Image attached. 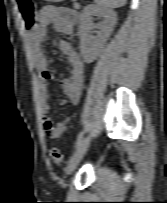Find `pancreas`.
Wrapping results in <instances>:
<instances>
[{
  "label": "pancreas",
  "instance_id": "1",
  "mask_svg": "<svg viewBox=\"0 0 167 203\" xmlns=\"http://www.w3.org/2000/svg\"><path fill=\"white\" fill-rule=\"evenodd\" d=\"M73 1H75V0H73ZM74 7H75V8H79V4L75 3V4H74Z\"/></svg>",
  "mask_w": 167,
  "mask_h": 203
}]
</instances>
